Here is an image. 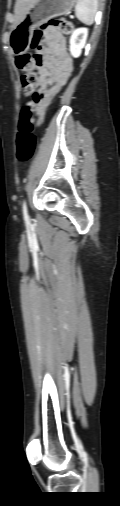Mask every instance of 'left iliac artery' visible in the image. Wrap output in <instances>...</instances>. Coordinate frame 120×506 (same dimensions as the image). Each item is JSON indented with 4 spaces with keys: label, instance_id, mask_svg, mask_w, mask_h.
Instances as JSON below:
<instances>
[{
    "label": "left iliac artery",
    "instance_id": "obj_1",
    "mask_svg": "<svg viewBox=\"0 0 120 506\" xmlns=\"http://www.w3.org/2000/svg\"><path fill=\"white\" fill-rule=\"evenodd\" d=\"M23 215H24V219L25 220L29 219L28 211H27V206H26V202L25 201L23 202Z\"/></svg>",
    "mask_w": 120,
    "mask_h": 506
}]
</instances>
